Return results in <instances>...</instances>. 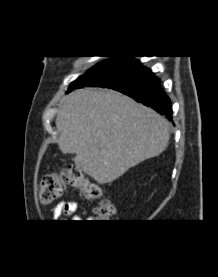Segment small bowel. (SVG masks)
Instances as JSON below:
<instances>
[{
  "instance_id": "1",
  "label": "small bowel",
  "mask_w": 218,
  "mask_h": 277,
  "mask_svg": "<svg viewBox=\"0 0 218 277\" xmlns=\"http://www.w3.org/2000/svg\"><path fill=\"white\" fill-rule=\"evenodd\" d=\"M77 203L72 200H64L57 204L52 211V219L54 222L57 220H80L81 218L76 214ZM78 222V221H74Z\"/></svg>"
}]
</instances>
